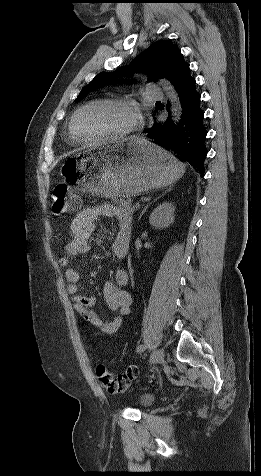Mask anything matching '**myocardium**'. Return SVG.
<instances>
[{"label": "myocardium", "mask_w": 261, "mask_h": 476, "mask_svg": "<svg viewBox=\"0 0 261 476\" xmlns=\"http://www.w3.org/2000/svg\"><path fill=\"white\" fill-rule=\"evenodd\" d=\"M97 104H114V105H119L129 109L134 115V121L132 125L129 126L127 129L117 133L103 135L94 139L83 138L77 130V119L79 115L81 114V112L84 111L86 108L91 107L93 105H97ZM140 123H141V114L139 112L138 107L132 102L124 100V99H120V98H110V97L96 98L84 103L83 105H81L75 110L70 122V132L73 139L77 143L87 144V145L96 144V143L104 142L107 140L124 139L130 136L139 127Z\"/></svg>", "instance_id": "f54148a6"}]
</instances>
